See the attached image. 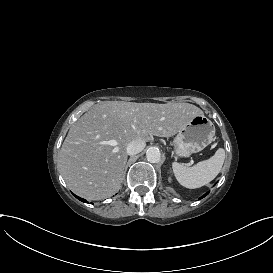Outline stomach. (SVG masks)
Returning <instances> with one entry per match:
<instances>
[{"instance_id": "0dacf381", "label": "stomach", "mask_w": 273, "mask_h": 273, "mask_svg": "<svg viewBox=\"0 0 273 273\" xmlns=\"http://www.w3.org/2000/svg\"><path fill=\"white\" fill-rule=\"evenodd\" d=\"M215 126L204 115H196L174 138L176 152L181 156H188L206 148L214 139Z\"/></svg>"}]
</instances>
